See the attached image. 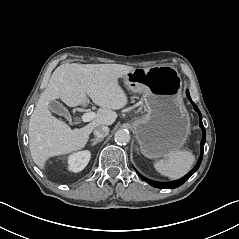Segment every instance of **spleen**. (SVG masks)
I'll return each instance as SVG.
<instances>
[{"mask_svg": "<svg viewBox=\"0 0 239 239\" xmlns=\"http://www.w3.org/2000/svg\"><path fill=\"white\" fill-rule=\"evenodd\" d=\"M195 157L189 151H179L171 154L165 160L154 164L157 172L172 180L179 179L186 175L192 168Z\"/></svg>", "mask_w": 239, "mask_h": 239, "instance_id": "spleen-1", "label": "spleen"}]
</instances>
